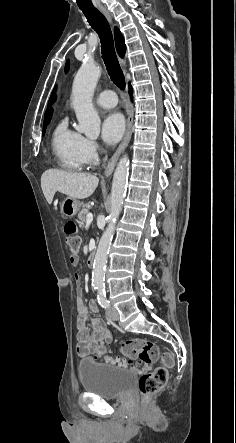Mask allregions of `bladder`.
Listing matches in <instances>:
<instances>
[{"label":"bladder","instance_id":"bladder-1","mask_svg":"<svg viewBox=\"0 0 236 443\" xmlns=\"http://www.w3.org/2000/svg\"><path fill=\"white\" fill-rule=\"evenodd\" d=\"M79 377L86 393L103 399L122 398L133 390L136 383L135 372L89 358L79 362Z\"/></svg>","mask_w":236,"mask_h":443}]
</instances>
